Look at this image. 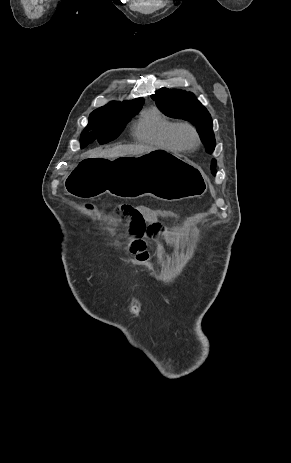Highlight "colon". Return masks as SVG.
<instances>
[{
    "instance_id": "colon-1",
    "label": "colon",
    "mask_w": 291,
    "mask_h": 463,
    "mask_svg": "<svg viewBox=\"0 0 291 463\" xmlns=\"http://www.w3.org/2000/svg\"><path fill=\"white\" fill-rule=\"evenodd\" d=\"M127 208H128V207H122L120 210H123V211H124V210H126Z\"/></svg>"
}]
</instances>
